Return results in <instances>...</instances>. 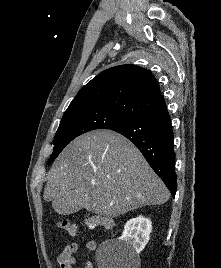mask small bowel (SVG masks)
<instances>
[{"mask_svg": "<svg viewBox=\"0 0 221 268\" xmlns=\"http://www.w3.org/2000/svg\"><path fill=\"white\" fill-rule=\"evenodd\" d=\"M85 246L89 251H95L97 248V242L89 240ZM79 249L80 245L78 243H70L66 245L57 257L59 268H73L76 263L75 254L79 251ZM84 268H94V265L91 261H87L84 264Z\"/></svg>", "mask_w": 221, "mask_h": 268, "instance_id": "1", "label": "small bowel"}]
</instances>
